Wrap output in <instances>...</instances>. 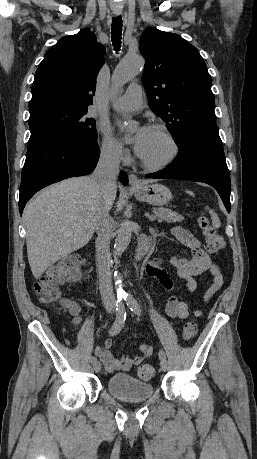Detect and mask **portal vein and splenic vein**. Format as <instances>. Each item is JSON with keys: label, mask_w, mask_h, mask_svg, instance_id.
Segmentation results:
<instances>
[{"label": "portal vein and splenic vein", "mask_w": 257, "mask_h": 459, "mask_svg": "<svg viewBox=\"0 0 257 459\" xmlns=\"http://www.w3.org/2000/svg\"><path fill=\"white\" fill-rule=\"evenodd\" d=\"M148 219H149V221H154L155 220V216L154 215H149Z\"/></svg>", "instance_id": "portal-vein-and-splenic-vein-1"}]
</instances>
